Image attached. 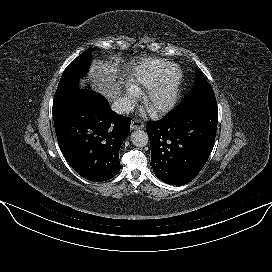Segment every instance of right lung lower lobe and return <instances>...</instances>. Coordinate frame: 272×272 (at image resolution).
Listing matches in <instances>:
<instances>
[{
  "instance_id": "right-lung-lower-lobe-1",
  "label": "right lung lower lobe",
  "mask_w": 272,
  "mask_h": 272,
  "mask_svg": "<svg viewBox=\"0 0 272 272\" xmlns=\"http://www.w3.org/2000/svg\"><path fill=\"white\" fill-rule=\"evenodd\" d=\"M60 149L83 178L101 182L120 170L119 150L130 133V119L113 112L99 94L70 96L53 112Z\"/></svg>"
}]
</instances>
